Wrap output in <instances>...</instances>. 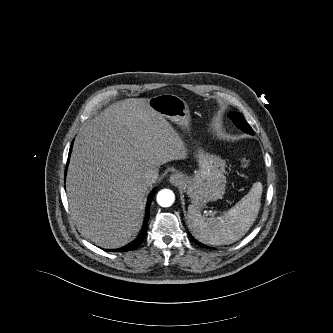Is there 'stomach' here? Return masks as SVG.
I'll return each mask as SVG.
<instances>
[{
    "label": "stomach",
    "instance_id": "1",
    "mask_svg": "<svg viewBox=\"0 0 333 333\" xmlns=\"http://www.w3.org/2000/svg\"><path fill=\"white\" fill-rule=\"evenodd\" d=\"M149 106L170 121L184 128L189 127V107L179 96L157 95L149 99ZM197 159L199 169L194 176L185 179V188L194 207L201 208L224 195L226 163L219 156L202 149L198 150Z\"/></svg>",
    "mask_w": 333,
    "mask_h": 333
}]
</instances>
